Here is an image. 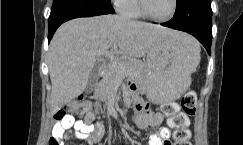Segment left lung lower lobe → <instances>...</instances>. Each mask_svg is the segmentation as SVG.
<instances>
[{"instance_id":"left-lung-lower-lobe-1","label":"left lung lower lobe","mask_w":243,"mask_h":145,"mask_svg":"<svg viewBox=\"0 0 243 145\" xmlns=\"http://www.w3.org/2000/svg\"><path fill=\"white\" fill-rule=\"evenodd\" d=\"M161 25L190 33L203 44L208 54H210L212 34H207L199 31L196 27L189 24L186 19H184V17H181L177 12H175L174 17L169 22L163 23Z\"/></svg>"}]
</instances>
